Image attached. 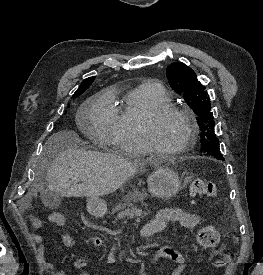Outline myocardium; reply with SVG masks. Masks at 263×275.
I'll list each match as a JSON object with an SVG mask.
<instances>
[{"label":"myocardium","instance_id":"f54148a6","mask_svg":"<svg viewBox=\"0 0 263 275\" xmlns=\"http://www.w3.org/2000/svg\"><path fill=\"white\" fill-rule=\"evenodd\" d=\"M177 115L184 118L189 125V134L183 145L176 149L168 150L160 147L154 138V130L156 124L163 118ZM199 127L196 118L194 115L183 108L167 104L160 106L152 111H150L144 118L142 133L147 147L151 153L160 155V156H176L188 151L196 142L198 137Z\"/></svg>","mask_w":263,"mask_h":275}]
</instances>
